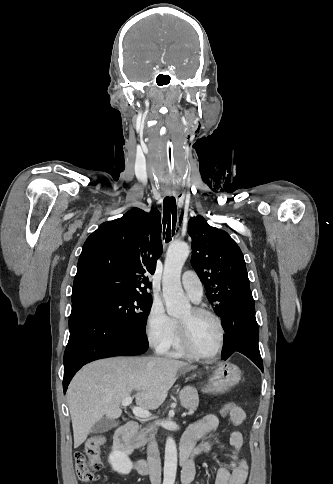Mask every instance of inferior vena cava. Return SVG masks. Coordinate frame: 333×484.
Instances as JSON below:
<instances>
[{
    "label": "inferior vena cava",
    "instance_id": "obj_1",
    "mask_svg": "<svg viewBox=\"0 0 333 484\" xmlns=\"http://www.w3.org/2000/svg\"><path fill=\"white\" fill-rule=\"evenodd\" d=\"M147 454L151 484H161V460L154 435L151 436V441L148 444Z\"/></svg>",
    "mask_w": 333,
    "mask_h": 484
}]
</instances>
